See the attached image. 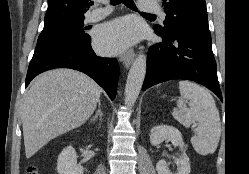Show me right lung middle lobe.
<instances>
[{
    "instance_id": "obj_1",
    "label": "right lung middle lobe",
    "mask_w": 249,
    "mask_h": 174,
    "mask_svg": "<svg viewBox=\"0 0 249 174\" xmlns=\"http://www.w3.org/2000/svg\"><path fill=\"white\" fill-rule=\"evenodd\" d=\"M84 18L72 19L44 26L36 49L64 42H86L91 38L84 32Z\"/></svg>"
}]
</instances>
